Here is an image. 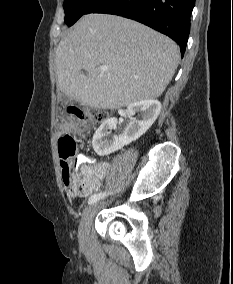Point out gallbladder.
<instances>
[{"label":"gallbladder","mask_w":233,"mask_h":284,"mask_svg":"<svg viewBox=\"0 0 233 284\" xmlns=\"http://www.w3.org/2000/svg\"><path fill=\"white\" fill-rule=\"evenodd\" d=\"M62 100L65 102V103H71L73 101L72 98L68 97V96H63Z\"/></svg>","instance_id":"bac80fb5"}]
</instances>
